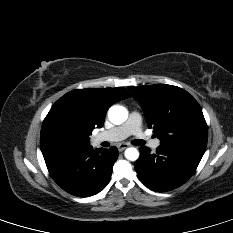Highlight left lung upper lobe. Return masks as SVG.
<instances>
[{"instance_id":"left-lung-upper-lobe-1","label":"left lung upper lobe","mask_w":233,"mask_h":233,"mask_svg":"<svg viewBox=\"0 0 233 233\" xmlns=\"http://www.w3.org/2000/svg\"><path fill=\"white\" fill-rule=\"evenodd\" d=\"M128 89L140 103L149 128L162 146L193 145L206 148L208 129L202 109L187 91L166 84Z\"/></svg>"}]
</instances>
